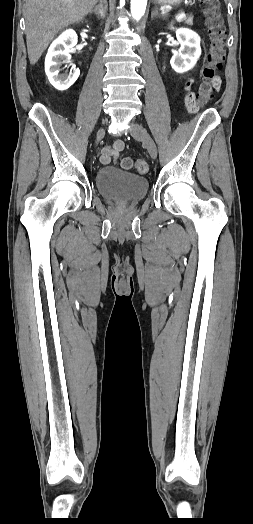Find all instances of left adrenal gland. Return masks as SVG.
Listing matches in <instances>:
<instances>
[{"label":"left adrenal gland","instance_id":"obj_1","mask_svg":"<svg viewBox=\"0 0 253 524\" xmlns=\"http://www.w3.org/2000/svg\"><path fill=\"white\" fill-rule=\"evenodd\" d=\"M159 15V12H158V9L157 8H154L152 13H151V18L153 19L155 16Z\"/></svg>","mask_w":253,"mask_h":524}]
</instances>
